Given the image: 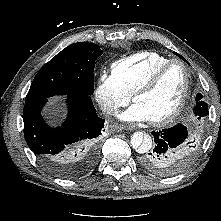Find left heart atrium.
<instances>
[{
	"mask_svg": "<svg viewBox=\"0 0 221 221\" xmlns=\"http://www.w3.org/2000/svg\"><path fill=\"white\" fill-rule=\"evenodd\" d=\"M119 117L125 122H144L150 120L145 109L138 103H134L126 111L121 113Z\"/></svg>",
	"mask_w": 221,
	"mask_h": 221,
	"instance_id": "1",
	"label": "left heart atrium"
}]
</instances>
